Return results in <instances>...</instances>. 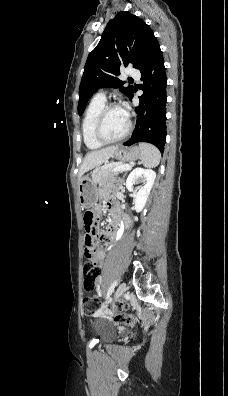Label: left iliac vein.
Returning a JSON list of instances; mask_svg holds the SVG:
<instances>
[{
    "label": "left iliac vein",
    "mask_w": 228,
    "mask_h": 396,
    "mask_svg": "<svg viewBox=\"0 0 228 396\" xmlns=\"http://www.w3.org/2000/svg\"><path fill=\"white\" fill-rule=\"evenodd\" d=\"M126 289H127L126 283H125V282H122V283L118 286V288H117V290H116V292H115V295H114L115 300H117V299H119L120 297H122V295L125 293Z\"/></svg>",
    "instance_id": "1"
}]
</instances>
